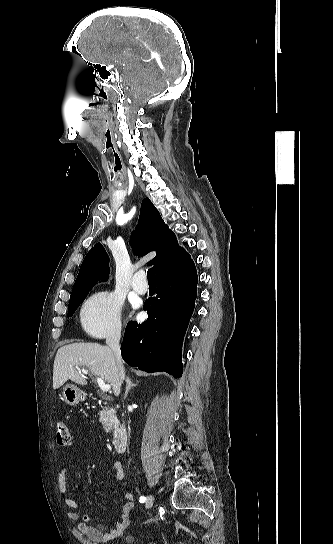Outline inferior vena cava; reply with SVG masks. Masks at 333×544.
Instances as JSON below:
<instances>
[{
  "instance_id": "obj_1",
  "label": "inferior vena cava",
  "mask_w": 333,
  "mask_h": 544,
  "mask_svg": "<svg viewBox=\"0 0 333 544\" xmlns=\"http://www.w3.org/2000/svg\"><path fill=\"white\" fill-rule=\"evenodd\" d=\"M120 338H121V329H115L108 334L106 338V344L114 353L118 376L120 379V383H122L125 378V371H124L121 351H120Z\"/></svg>"
}]
</instances>
